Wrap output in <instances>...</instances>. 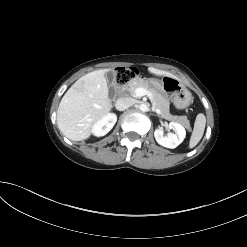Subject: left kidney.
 <instances>
[{
    "instance_id": "5707ae66",
    "label": "left kidney",
    "mask_w": 247,
    "mask_h": 247,
    "mask_svg": "<svg viewBox=\"0 0 247 247\" xmlns=\"http://www.w3.org/2000/svg\"><path fill=\"white\" fill-rule=\"evenodd\" d=\"M169 128L173 129L175 131V134L169 133L167 136H164L163 130L159 128L155 130L154 137L157 143L161 146L174 149L185 139L186 130L181 124L176 122H170Z\"/></svg>"
}]
</instances>
